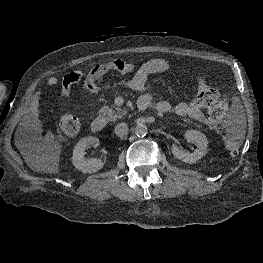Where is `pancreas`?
Segmentation results:
<instances>
[{
	"instance_id": "pancreas-1",
	"label": "pancreas",
	"mask_w": 263,
	"mask_h": 263,
	"mask_svg": "<svg viewBox=\"0 0 263 263\" xmlns=\"http://www.w3.org/2000/svg\"><path fill=\"white\" fill-rule=\"evenodd\" d=\"M99 112L105 117L107 121H116L117 119H121L125 115V111H122L120 108H115L114 110L106 105L103 106L99 110Z\"/></svg>"
}]
</instances>
